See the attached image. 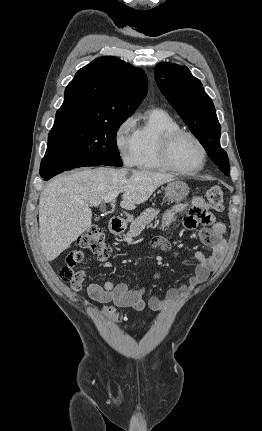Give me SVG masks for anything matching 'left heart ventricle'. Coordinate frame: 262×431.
Segmentation results:
<instances>
[{
    "instance_id": "obj_1",
    "label": "left heart ventricle",
    "mask_w": 262,
    "mask_h": 431,
    "mask_svg": "<svg viewBox=\"0 0 262 431\" xmlns=\"http://www.w3.org/2000/svg\"><path fill=\"white\" fill-rule=\"evenodd\" d=\"M172 154L176 164L184 170H194L201 164V150L199 146L187 136H181L175 141Z\"/></svg>"
}]
</instances>
